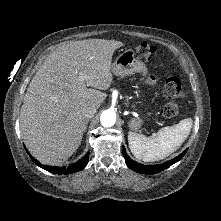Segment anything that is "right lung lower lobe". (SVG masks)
Returning <instances> with one entry per match:
<instances>
[{
  "label": "right lung lower lobe",
  "instance_id": "obj_1",
  "mask_svg": "<svg viewBox=\"0 0 221 221\" xmlns=\"http://www.w3.org/2000/svg\"><path fill=\"white\" fill-rule=\"evenodd\" d=\"M27 153H28V151H27ZM29 156L37 166H39V167H41L51 173H54V174H71V173L78 172V171L82 170L87 165V163L89 161V156H88V154H86L78 162L73 163V164L69 165L68 167H57V166L42 165L40 162H38L36 159H34L31 155H29Z\"/></svg>",
  "mask_w": 221,
  "mask_h": 221
}]
</instances>
